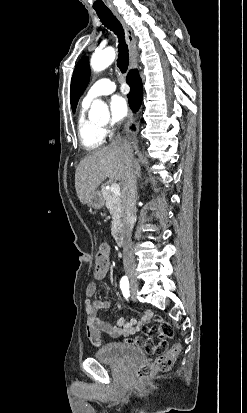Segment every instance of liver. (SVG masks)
Listing matches in <instances>:
<instances>
[{
    "label": "liver",
    "instance_id": "1",
    "mask_svg": "<svg viewBox=\"0 0 247 413\" xmlns=\"http://www.w3.org/2000/svg\"><path fill=\"white\" fill-rule=\"evenodd\" d=\"M126 150L121 142H111L92 150L80 160L75 172L77 196L85 204L90 194L109 176L121 180L125 168Z\"/></svg>",
    "mask_w": 247,
    "mask_h": 413
}]
</instances>
